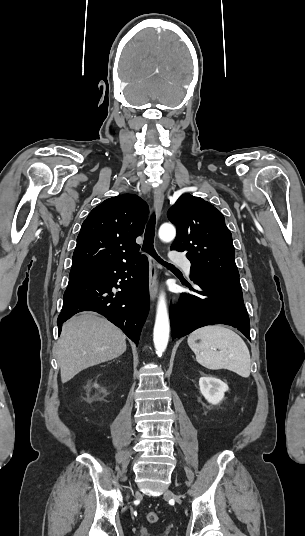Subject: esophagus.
<instances>
[{"instance_id": "esophagus-1", "label": "esophagus", "mask_w": 305, "mask_h": 536, "mask_svg": "<svg viewBox=\"0 0 305 536\" xmlns=\"http://www.w3.org/2000/svg\"><path fill=\"white\" fill-rule=\"evenodd\" d=\"M164 203V186L160 185L156 188L154 193V204L157 217L160 216L162 206ZM149 259V294L152 301L155 300L158 290L157 281V263L152 256H148Z\"/></svg>"}]
</instances>
